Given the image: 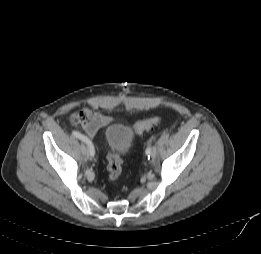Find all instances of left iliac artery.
Masks as SVG:
<instances>
[{
	"label": "left iliac artery",
	"mask_w": 261,
	"mask_h": 254,
	"mask_svg": "<svg viewBox=\"0 0 261 254\" xmlns=\"http://www.w3.org/2000/svg\"><path fill=\"white\" fill-rule=\"evenodd\" d=\"M154 150V149H153ZM146 155L148 156V158H150V157H152V148L150 147V146H148L147 148H146Z\"/></svg>",
	"instance_id": "left-iliac-artery-1"
}]
</instances>
